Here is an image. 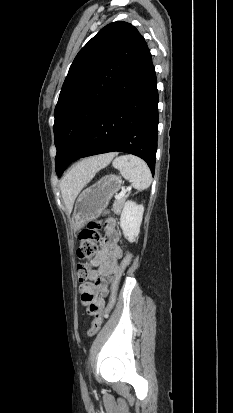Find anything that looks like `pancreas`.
Wrapping results in <instances>:
<instances>
[{"mask_svg":"<svg viewBox=\"0 0 233 413\" xmlns=\"http://www.w3.org/2000/svg\"><path fill=\"white\" fill-rule=\"evenodd\" d=\"M125 199H126V197H122L121 199L116 200V201L114 202L112 211H113L115 214H120L121 209L123 208V205H124V203H125Z\"/></svg>","mask_w":233,"mask_h":413,"instance_id":"pancreas-1","label":"pancreas"}]
</instances>
